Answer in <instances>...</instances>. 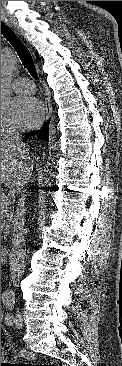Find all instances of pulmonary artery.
<instances>
[{
    "instance_id": "e3ab8cb5",
    "label": "pulmonary artery",
    "mask_w": 122,
    "mask_h": 366,
    "mask_svg": "<svg viewBox=\"0 0 122 366\" xmlns=\"http://www.w3.org/2000/svg\"><path fill=\"white\" fill-rule=\"evenodd\" d=\"M12 88L16 93L29 94L34 91V84L32 81L26 78H17L12 83Z\"/></svg>"
}]
</instances>
